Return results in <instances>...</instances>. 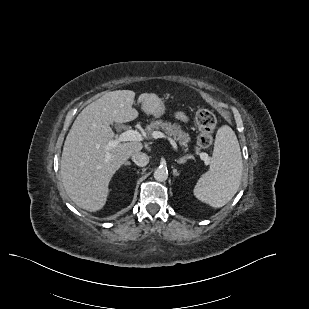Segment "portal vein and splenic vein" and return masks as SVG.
I'll return each mask as SVG.
<instances>
[{"label":"portal vein and splenic vein","mask_w":309,"mask_h":309,"mask_svg":"<svg viewBox=\"0 0 309 309\" xmlns=\"http://www.w3.org/2000/svg\"><path fill=\"white\" fill-rule=\"evenodd\" d=\"M152 136L155 139H157V138L167 139L169 141V143L171 144V146L173 147V149L175 151H178L177 143L170 136H167V135H165L164 133H162L160 131L153 132ZM142 139H143L142 135L138 131H136V130H127V131L123 132L122 134H120L117 139L109 141V143L107 144V148L110 149L112 147H115L120 142H125V141H141ZM200 157H201L202 160L205 161L206 164L209 163L208 155L206 153H201ZM108 159H109V156L107 155L106 156V161H108Z\"/></svg>","instance_id":"portal-vein-and-splenic-vein-1"}]
</instances>
